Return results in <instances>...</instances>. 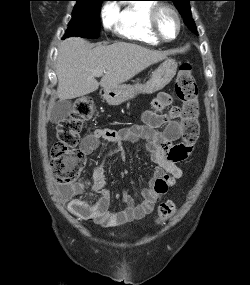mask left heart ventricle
Instances as JSON below:
<instances>
[{"label":"left heart ventricle","instance_id":"obj_1","mask_svg":"<svg viewBox=\"0 0 250 285\" xmlns=\"http://www.w3.org/2000/svg\"><path fill=\"white\" fill-rule=\"evenodd\" d=\"M158 27L164 37L172 38L177 32L175 17L170 12L163 11L159 17Z\"/></svg>","mask_w":250,"mask_h":285}]
</instances>
